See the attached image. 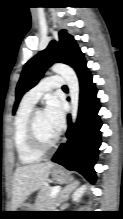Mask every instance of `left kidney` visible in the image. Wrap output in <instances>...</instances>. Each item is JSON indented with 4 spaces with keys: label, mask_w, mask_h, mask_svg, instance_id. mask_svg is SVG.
<instances>
[{
    "label": "left kidney",
    "mask_w": 123,
    "mask_h": 219,
    "mask_svg": "<svg viewBox=\"0 0 123 219\" xmlns=\"http://www.w3.org/2000/svg\"><path fill=\"white\" fill-rule=\"evenodd\" d=\"M85 190H86V186L85 185H83L80 188L76 189L75 192L72 195L73 201L79 200V198H81V196L83 195Z\"/></svg>",
    "instance_id": "obj_1"
}]
</instances>
